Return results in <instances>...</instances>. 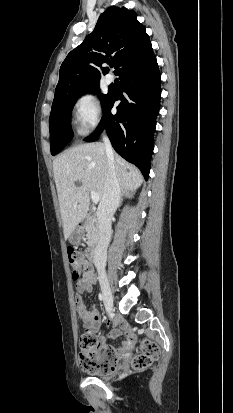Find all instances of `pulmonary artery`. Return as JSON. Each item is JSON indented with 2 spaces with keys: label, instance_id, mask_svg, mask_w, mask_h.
I'll return each instance as SVG.
<instances>
[{
  "label": "pulmonary artery",
  "instance_id": "obj_1",
  "mask_svg": "<svg viewBox=\"0 0 233 413\" xmlns=\"http://www.w3.org/2000/svg\"><path fill=\"white\" fill-rule=\"evenodd\" d=\"M114 82V77L111 74H107L105 76V83L106 84H112Z\"/></svg>",
  "mask_w": 233,
  "mask_h": 413
}]
</instances>
